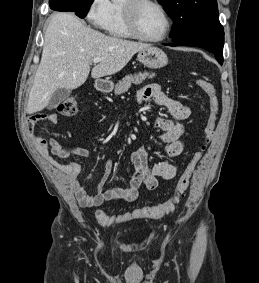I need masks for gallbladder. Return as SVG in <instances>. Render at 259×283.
Returning <instances> with one entry per match:
<instances>
[{
    "instance_id": "obj_1",
    "label": "gallbladder",
    "mask_w": 259,
    "mask_h": 283,
    "mask_svg": "<svg viewBox=\"0 0 259 283\" xmlns=\"http://www.w3.org/2000/svg\"><path fill=\"white\" fill-rule=\"evenodd\" d=\"M71 94L69 89H57L51 96L47 108L49 110L56 108L61 102L66 100Z\"/></svg>"
}]
</instances>
